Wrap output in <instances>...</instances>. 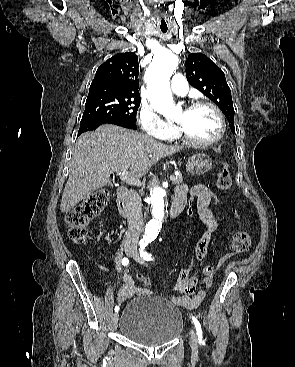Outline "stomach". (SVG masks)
Masks as SVG:
<instances>
[{"label": "stomach", "instance_id": "obj_1", "mask_svg": "<svg viewBox=\"0 0 295 367\" xmlns=\"http://www.w3.org/2000/svg\"><path fill=\"white\" fill-rule=\"evenodd\" d=\"M212 168V161L204 153L192 155L187 162V170L195 175H202Z\"/></svg>", "mask_w": 295, "mask_h": 367}]
</instances>
